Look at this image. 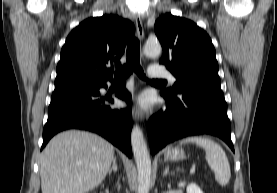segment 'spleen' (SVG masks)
<instances>
[{
  "label": "spleen",
  "instance_id": "obj_1",
  "mask_svg": "<svg viewBox=\"0 0 277 193\" xmlns=\"http://www.w3.org/2000/svg\"><path fill=\"white\" fill-rule=\"evenodd\" d=\"M183 143H195L206 152V161L215 172V179L221 186H226L231 177L230 165L224 150L214 141L200 137H188L181 141Z\"/></svg>",
  "mask_w": 277,
  "mask_h": 193
}]
</instances>
